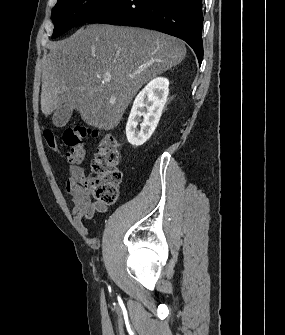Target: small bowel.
<instances>
[{"label": "small bowel", "mask_w": 285, "mask_h": 335, "mask_svg": "<svg viewBox=\"0 0 285 335\" xmlns=\"http://www.w3.org/2000/svg\"><path fill=\"white\" fill-rule=\"evenodd\" d=\"M66 191L73 201L74 222L82 234H87L84 222L91 220L96 213L106 212L107 206L92 200L90 178L80 166H71Z\"/></svg>", "instance_id": "c3829d8e"}]
</instances>
